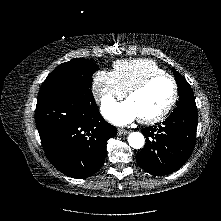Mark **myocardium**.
I'll return each instance as SVG.
<instances>
[{
	"mask_svg": "<svg viewBox=\"0 0 221 221\" xmlns=\"http://www.w3.org/2000/svg\"><path fill=\"white\" fill-rule=\"evenodd\" d=\"M159 78H167L171 81L172 86H173V93L170 101L168 104L165 106V108L159 112L158 114L148 117V118H139V121L143 124H155L163 120L172 110L174 107L177 99H178V85L175 80V78L165 72L162 73H156L153 75L148 76L147 78L143 79L141 82L138 84L134 85L131 87L127 92H126V98L128 99L131 95L138 93L142 90H144L147 86H149L153 81L159 79Z\"/></svg>",
	"mask_w": 221,
	"mask_h": 221,
	"instance_id": "1",
	"label": "myocardium"
}]
</instances>
